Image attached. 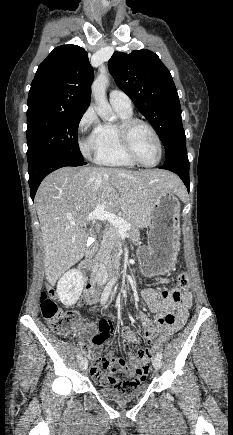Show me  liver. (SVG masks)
Returning <instances> with one entry per match:
<instances>
[{"mask_svg":"<svg viewBox=\"0 0 233 435\" xmlns=\"http://www.w3.org/2000/svg\"><path fill=\"white\" fill-rule=\"evenodd\" d=\"M168 192L182 196L184 186L176 175L159 169L63 167L49 174L35 196L48 282L55 283L83 258L88 237L83 226L98 205L104 203L107 212L121 210L143 228L149 226L158 199Z\"/></svg>","mask_w":233,"mask_h":435,"instance_id":"liver-1","label":"liver"}]
</instances>
